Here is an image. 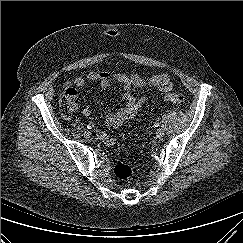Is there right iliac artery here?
<instances>
[{
	"instance_id": "1",
	"label": "right iliac artery",
	"mask_w": 243,
	"mask_h": 243,
	"mask_svg": "<svg viewBox=\"0 0 243 243\" xmlns=\"http://www.w3.org/2000/svg\"><path fill=\"white\" fill-rule=\"evenodd\" d=\"M87 128H88V129H92V128H94V125H93V124H89V125L87 126Z\"/></svg>"
}]
</instances>
